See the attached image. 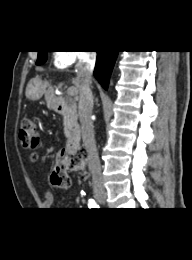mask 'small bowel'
I'll list each match as a JSON object with an SVG mask.
<instances>
[{"label":"small bowel","mask_w":192,"mask_h":260,"mask_svg":"<svg viewBox=\"0 0 192 260\" xmlns=\"http://www.w3.org/2000/svg\"><path fill=\"white\" fill-rule=\"evenodd\" d=\"M53 193L51 190H46L44 193V201H43V205L45 208H50L53 204Z\"/></svg>","instance_id":"c3829d8e"}]
</instances>
